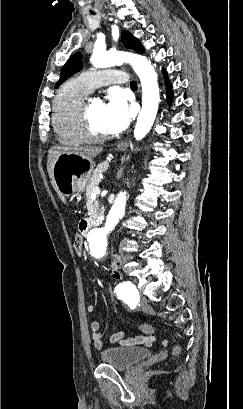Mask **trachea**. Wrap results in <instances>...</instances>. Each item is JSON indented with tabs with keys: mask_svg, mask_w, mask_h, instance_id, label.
Masks as SVG:
<instances>
[{
	"mask_svg": "<svg viewBox=\"0 0 243 409\" xmlns=\"http://www.w3.org/2000/svg\"><path fill=\"white\" fill-rule=\"evenodd\" d=\"M130 87L131 88H137V83L135 81H131Z\"/></svg>",
	"mask_w": 243,
	"mask_h": 409,
	"instance_id": "obj_1",
	"label": "trachea"
}]
</instances>
